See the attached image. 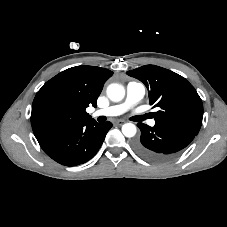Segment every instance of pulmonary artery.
Instances as JSON below:
<instances>
[{
    "label": "pulmonary artery",
    "mask_w": 227,
    "mask_h": 227,
    "mask_svg": "<svg viewBox=\"0 0 227 227\" xmlns=\"http://www.w3.org/2000/svg\"><path fill=\"white\" fill-rule=\"evenodd\" d=\"M145 96V87L142 83L131 81L126 87V97L123 102L109 106L104 109L96 110L92 113V117L106 116L114 117L119 116L128 110L134 108ZM155 121L151 120L150 125H154Z\"/></svg>",
    "instance_id": "1"
}]
</instances>
